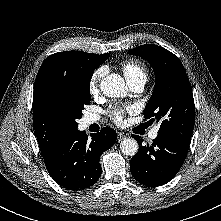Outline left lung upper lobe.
I'll return each instance as SVG.
<instances>
[{
  "label": "left lung upper lobe",
  "instance_id": "1",
  "mask_svg": "<svg viewBox=\"0 0 221 221\" xmlns=\"http://www.w3.org/2000/svg\"><path fill=\"white\" fill-rule=\"evenodd\" d=\"M145 58L155 73V88L144 116L160 124L158 134L189 143L195 123L194 99L186 71L179 58L154 44L128 51Z\"/></svg>",
  "mask_w": 221,
  "mask_h": 221
}]
</instances>
